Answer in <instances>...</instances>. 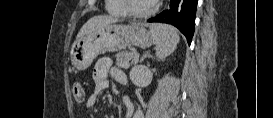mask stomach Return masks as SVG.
Here are the masks:
<instances>
[{"label":"stomach","mask_w":273,"mask_h":118,"mask_svg":"<svg viewBox=\"0 0 273 118\" xmlns=\"http://www.w3.org/2000/svg\"><path fill=\"white\" fill-rule=\"evenodd\" d=\"M152 43V36L144 26L111 23L76 40L70 51V60L75 69L85 70L102 53L130 46L146 48Z\"/></svg>","instance_id":"obj_1"}]
</instances>
